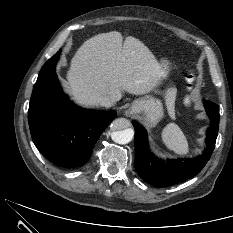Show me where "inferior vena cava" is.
Returning a JSON list of instances; mask_svg holds the SVG:
<instances>
[{"label": "inferior vena cava", "mask_w": 233, "mask_h": 233, "mask_svg": "<svg viewBox=\"0 0 233 233\" xmlns=\"http://www.w3.org/2000/svg\"><path fill=\"white\" fill-rule=\"evenodd\" d=\"M115 99L111 96H105V97H102L99 101L100 105L101 106H104V107H112L114 104H115Z\"/></svg>", "instance_id": "602c4592"}]
</instances>
